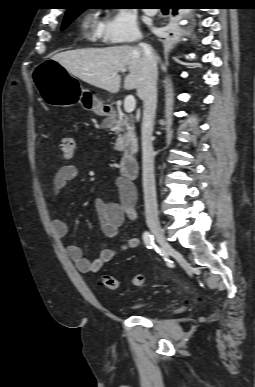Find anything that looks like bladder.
Wrapping results in <instances>:
<instances>
[{
  "instance_id": "obj_1",
  "label": "bladder",
  "mask_w": 255,
  "mask_h": 387,
  "mask_svg": "<svg viewBox=\"0 0 255 387\" xmlns=\"http://www.w3.org/2000/svg\"><path fill=\"white\" fill-rule=\"evenodd\" d=\"M158 302L155 300L139 303L135 306V308L141 312H146L149 308L155 306Z\"/></svg>"
}]
</instances>
